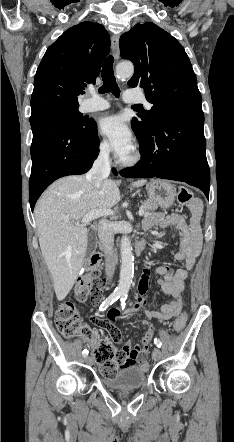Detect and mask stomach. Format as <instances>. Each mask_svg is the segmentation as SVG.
<instances>
[{"label":"stomach","instance_id":"obj_1","mask_svg":"<svg viewBox=\"0 0 234 442\" xmlns=\"http://www.w3.org/2000/svg\"><path fill=\"white\" fill-rule=\"evenodd\" d=\"M147 193L152 202L162 208H169L176 199V188L174 185L163 180H151L146 185Z\"/></svg>","mask_w":234,"mask_h":442}]
</instances>
